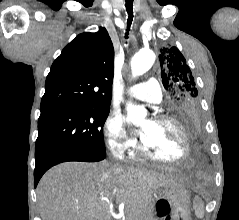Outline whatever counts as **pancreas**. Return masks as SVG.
<instances>
[{
  "label": "pancreas",
  "instance_id": "cf45deb5",
  "mask_svg": "<svg viewBox=\"0 0 239 220\" xmlns=\"http://www.w3.org/2000/svg\"><path fill=\"white\" fill-rule=\"evenodd\" d=\"M136 217H138V215L136 213H132V214L128 215L127 220H137Z\"/></svg>",
  "mask_w": 239,
  "mask_h": 220
}]
</instances>
